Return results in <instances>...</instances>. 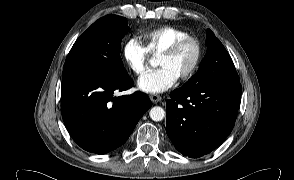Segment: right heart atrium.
Here are the masks:
<instances>
[{
  "label": "right heart atrium",
  "mask_w": 294,
  "mask_h": 180,
  "mask_svg": "<svg viewBox=\"0 0 294 180\" xmlns=\"http://www.w3.org/2000/svg\"><path fill=\"white\" fill-rule=\"evenodd\" d=\"M121 54L124 62L134 74L140 75L146 71L149 53L137 39H128L122 47Z\"/></svg>",
  "instance_id": "1"
}]
</instances>
